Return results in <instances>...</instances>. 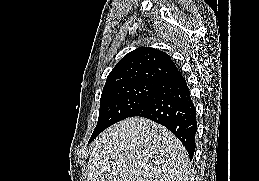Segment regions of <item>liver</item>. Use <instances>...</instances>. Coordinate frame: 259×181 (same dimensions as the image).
Instances as JSON below:
<instances>
[{
	"instance_id": "obj_1",
	"label": "liver",
	"mask_w": 259,
	"mask_h": 181,
	"mask_svg": "<svg viewBox=\"0 0 259 181\" xmlns=\"http://www.w3.org/2000/svg\"><path fill=\"white\" fill-rule=\"evenodd\" d=\"M189 176L180 140L142 117L109 127L92 144L87 181H189Z\"/></svg>"
}]
</instances>
